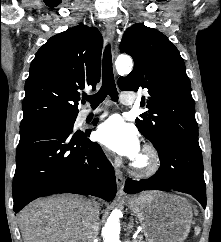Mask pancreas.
I'll list each match as a JSON object with an SVG mask.
<instances>
[{"mask_svg":"<svg viewBox=\"0 0 221 242\" xmlns=\"http://www.w3.org/2000/svg\"><path fill=\"white\" fill-rule=\"evenodd\" d=\"M132 242H145V241H143L142 237L139 236L137 239L133 240Z\"/></svg>","mask_w":221,"mask_h":242,"instance_id":"obj_1","label":"pancreas"}]
</instances>
